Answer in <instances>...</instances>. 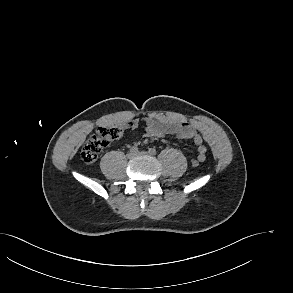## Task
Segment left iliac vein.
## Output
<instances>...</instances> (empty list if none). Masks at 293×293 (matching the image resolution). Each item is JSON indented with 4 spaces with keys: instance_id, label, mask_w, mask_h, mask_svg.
<instances>
[{
    "instance_id": "left-iliac-vein-1",
    "label": "left iliac vein",
    "mask_w": 293,
    "mask_h": 293,
    "mask_svg": "<svg viewBox=\"0 0 293 293\" xmlns=\"http://www.w3.org/2000/svg\"><path fill=\"white\" fill-rule=\"evenodd\" d=\"M146 154L147 153L145 151H140V152L136 153L137 156H144Z\"/></svg>"
}]
</instances>
